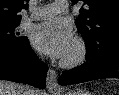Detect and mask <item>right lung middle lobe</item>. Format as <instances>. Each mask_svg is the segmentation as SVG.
Instances as JSON below:
<instances>
[{"mask_svg":"<svg viewBox=\"0 0 119 95\" xmlns=\"http://www.w3.org/2000/svg\"><path fill=\"white\" fill-rule=\"evenodd\" d=\"M19 24L20 22L0 25V46L18 44L25 40L26 37L21 36L20 33L16 30V27Z\"/></svg>","mask_w":119,"mask_h":95,"instance_id":"1","label":"right lung middle lobe"}]
</instances>
